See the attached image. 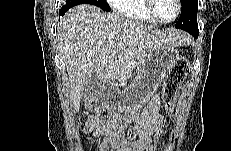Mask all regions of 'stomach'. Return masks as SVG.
I'll use <instances>...</instances> for the list:
<instances>
[{
    "instance_id": "0dacf381",
    "label": "stomach",
    "mask_w": 231,
    "mask_h": 151,
    "mask_svg": "<svg viewBox=\"0 0 231 151\" xmlns=\"http://www.w3.org/2000/svg\"><path fill=\"white\" fill-rule=\"evenodd\" d=\"M179 59L173 46L159 47L144 58L138 72L123 89H106L107 104L120 112L135 113L142 109L156 93L167 72Z\"/></svg>"
}]
</instances>
